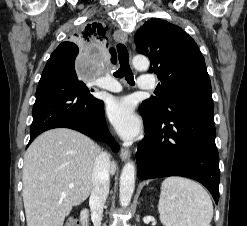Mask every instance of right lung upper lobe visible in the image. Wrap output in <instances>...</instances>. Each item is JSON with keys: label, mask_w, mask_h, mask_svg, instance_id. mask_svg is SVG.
<instances>
[{"label": "right lung upper lobe", "mask_w": 247, "mask_h": 226, "mask_svg": "<svg viewBox=\"0 0 247 226\" xmlns=\"http://www.w3.org/2000/svg\"><path fill=\"white\" fill-rule=\"evenodd\" d=\"M106 34L107 28L99 22H92L87 24L77 37H79L85 44H101L107 39ZM56 50H67L73 55H77L79 52L78 46L72 42H63ZM110 53L112 54V63H116L115 50L110 49Z\"/></svg>", "instance_id": "1"}]
</instances>
